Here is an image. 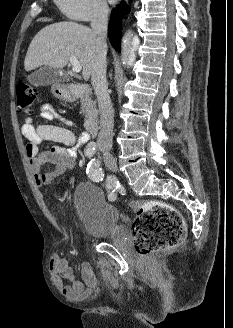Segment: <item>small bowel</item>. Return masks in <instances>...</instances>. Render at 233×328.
Masks as SVG:
<instances>
[{
    "label": "small bowel",
    "mask_w": 233,
    "mask_h": 328,
    "mask_svg": "<svg viewBox=\"0 0 233 328\" xmlns=\"http://www.w3.org/2000/svg\"><path fill=\"white\" fill-rule=\"evenodd\" d=\"M40 115L47 123L34 125L31 118L27 117L21 126V132L26 139L25 152L33 165L36 184L44 187L73 167L78 147L87 143L91 135L85 132L77 142L74 133L69 128L49 124V122L59 120L67 126L73 125L71 121L59 117L50 104L42 105ZM43 141H52L59 145L53 147L51 151L39 154L38 145ZM39 162L53 164L54 168L41 173ZM50 269L55 286L71 300L86 298L96 286V277L88 263L82 264L81 278H77L67 259L59 254H53Z\"/></svg>",
    "instance_id": "1"
}]
</instances>
